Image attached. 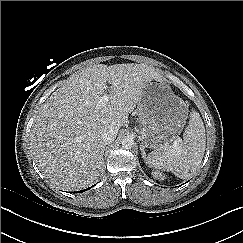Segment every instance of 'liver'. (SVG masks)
<instances>
[{"label": "liver", "mask_w": 243, "mask_h": 243, "mask_svg": "<svg viewBox=\"0 0 243 243\" xmlns=\"http://www.w3.org/2000/svg\"><path fill=\"white\" fill-rule=\"evenodd\" d=\"M156 78L161 77L154 67L134 63L98 64L72 75L42 105L31 129L32 153L43 176L67 191L93 184L102 170V132L122 127ZM106 92L107 105L97 107Z\"/></svg>", "instance_id": "1"}]
</instances>
